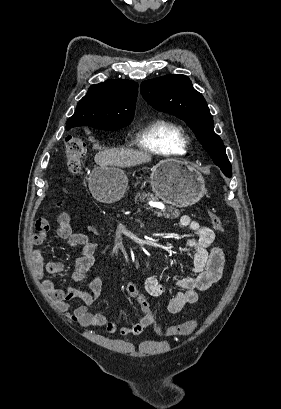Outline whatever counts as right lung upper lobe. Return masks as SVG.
<instances>
[{
    "mask_svg": "<svg viewBox=\"0 0 281 409\" xmlns=\"http://www.w3.org/2000/svg\"><path fill=\"white\" fill-rule=\"evenodd\" d=\"M137 91L138 84L129 80H108L92 85L68 119L66 128L130 124Z\"/></svg>",
    "mask_w": 281,
    "mask_h": 409,
    "instance_id": "obj_1",
    "label": "right lung upper lobe"
}]
</instances>
